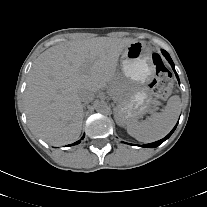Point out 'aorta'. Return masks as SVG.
Here are the masks:
<instances>
[{
	"mask_svg": "<svg viewBox=\"0 0 207 207\" xmlns=\"http://www.w3.org/2000/svg\"><path fill=\"white\" fill-rule=\"evenodd\" d=\"M96 111L105 114L110 111V107L106 102L100 101L96 104Z\"/></svg>",
	"mask_w": 207,
	"mask_h": 207,
	"instance_id": "762f6f07",
	"label": "aorta"
}]
</instances>
